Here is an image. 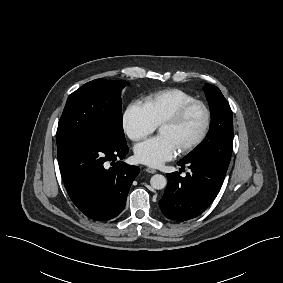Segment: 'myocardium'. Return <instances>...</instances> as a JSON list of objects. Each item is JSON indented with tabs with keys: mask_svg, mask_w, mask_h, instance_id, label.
<instances>
[{
	"mask_svg": "<svg viewBox=\"0 0 283 283\" xmlns=\"http://www.w3.org/2000/svg\"><path fill=\"white\" fill-rule=\"evenodd\" d=\"M196 107L201 108L204 113V125L199 135L193 141L189 142L188 144L182 146L179 149V153L181 154H187L195 150L206 139L209 133L210 127H211V122H212V114H211V110L208 107V105L201 100L194 99L182 105L175 113H173L168 118L164 119L159 124L160 127L164 125L179 126L185 120L188 114Z\"/></svg>",
	"mask_w": 283,
	"mask_h": 283,
	"instance_id": "myocardium-1",
	"label": "myocardium"
}]
</instances>
